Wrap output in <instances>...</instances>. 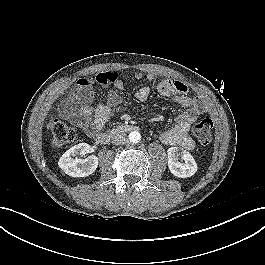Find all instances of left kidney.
I'll return each instance as SVG.
<instances>
[{"label": "left kidney", "instance_id": "5707ae66", "mask_svg": "<svg viewBox=\"0 0 265 265\" xmlns=\"http://www.w3.org/2000/svg\"><path fill=\"white\" fill-rule=\"evenodd\" d=\"M168 167L170 172L179 178L193 176L197 172V164L193 156L179 147H171L167 150ZM180 160V161H179Z\"/></svg>", "mask_w": 265, "mask_h": 265}]
</instances>
